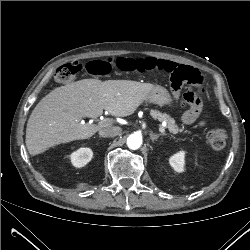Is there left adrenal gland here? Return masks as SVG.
Listing matches in <instances>:
<instances>
[{"label": "left adrenal gland", "instance_id": "left-adrenal-gland-1", "mask_svg": "<svg viewBox=\"0 0 250 250\" xmlns=\"http://www.w3.org/2000/svg\"><path fill=\"white\" fill-rule=\"evenodd\" d=\"M165 134H155L153 132L150 133V139L152 140V142H154L155 140H157L160 136H163Z\"/></svg>", "mask_w": 250, "mask_h": 250}]
</instances>
